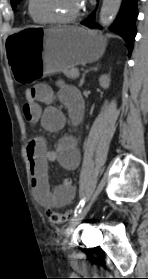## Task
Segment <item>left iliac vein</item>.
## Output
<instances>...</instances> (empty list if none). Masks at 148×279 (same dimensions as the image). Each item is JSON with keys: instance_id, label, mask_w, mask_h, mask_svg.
<instances>
[{"instance_id": "1", "label": "left iliac vein", "mask_w": 148, "mask_h": 279, "mask_svg": "<svg viewBox=\"0 0 148 279\" xmlns=\"http://www.w3.org/2000/svg\"><path fill=\"white\" fill-rule=\"evenodd\" d=\"M92 205V202H90L88 205H86L82 211L76 216L74 217L69 226L67 227V229L65 230V236L68 237L70 236L73 231L75 230V228L77 227V225L81 222V220L86 216V214L88 213V211L90 210Z\"/></svg>"}]
</instances>
